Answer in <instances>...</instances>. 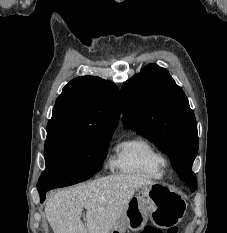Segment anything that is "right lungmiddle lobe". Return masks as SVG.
<instances>
[{"label": "right lung middle lobe", "instance_id": "1", "mask_svg": "<svg viewBox=\"0 0 227 233\" xmlns=\"http://www.w3.org/2000/svg\"><path fill=\"white\" fill-rule=\"evenodd\" d=\"M113 132L100 135L47 134L46 169L37 189L51 190L73 185L92 177L102 166Z\"/></svg>", "mask_w": 227, "mask_h": 233}]
</instances>
